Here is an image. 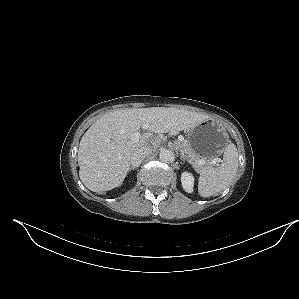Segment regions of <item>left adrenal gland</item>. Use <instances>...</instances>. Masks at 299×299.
Listing matches in <instances>:
<instances>
[{"label":"left adrenal gland","mask_w":299,"mask_h":299,"mask_svg":"<svg viewBox=\"0 0 299 299\" xmlns=\"http://www.w3.org/2000/svg\"><path fill=\"white\" fill-rule=\"evenodd\" d=\"M180 159L182 160L183 163L187 160L186 156L183 153L180 154Z\"/></svg>","instance_id":"left-adrenal-gland-1"}]
</instances>
